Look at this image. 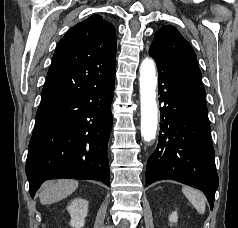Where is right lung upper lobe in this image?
Returning <instances> with one entry per match:
<instances>
[{
  "mask_svg": "<svg viewBox=\"0 0 238 228\" xmlns=\"http://www.w3.org/2000/svg\"><path fill=\"white\" fill-rule=\"evenodd\" d=\"M115 71V28L100 15L90 16L59 41L41 103L94 89L114 78Z\"/></svg>",
  "mask_w": 238,
  "mask_h": 228,
  "instance_id": "obj_1",
  "label": "right lung upper lobe"
}]
</instances>
